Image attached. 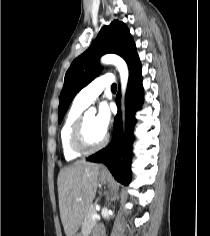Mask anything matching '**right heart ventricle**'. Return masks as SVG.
<instances>
[{
  "label": "right heart ventricle",
  "mask_w": 210,
  "mask_h": 236,
  "mask_svg": "<svg viewBox=\"0 0 210 236\" xmlns=\"http://www.w3.org/2000/svg\"><path fill=\"white\" fill-rule=\"evenodd\" d=\"M84 109H85L84 106L74 101L61 127V132H60L61 149L64 158L68 161L75 160L82 155L72 150L70 146V136L74 123L82 114Z\"/></svg>",
  "instance_id": "obj_1"
}]
</instances>
